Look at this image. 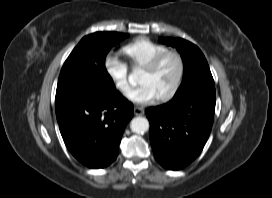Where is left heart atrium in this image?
I'll use <instances>...</instances> for the list:
<instances>
[{
  "label": "left heart atrium",
  "mask_w": 272,
  "mask_h": 198,
  "mask_svg": "<svg viewBox=\"0 0 272 198\" xmlns=\"http://www.w3.org/2000/svg\"><path fill=\"white\" fill-rule=\"evenodd\" d=\"M125 96L128 100L140 104H150L157 99V95L149 84H140L137 87L129 89Z\"/></svg>",
  "instance_id": "39dd6f15"
}]
</instances>
